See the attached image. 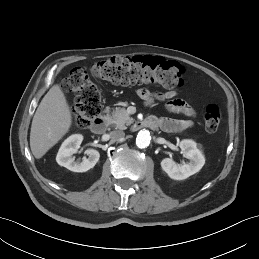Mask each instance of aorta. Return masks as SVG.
Instances as JSON below:
<instances>
[{
	"label": "aorta",
	"mask_w": 259,
	"mask_h": 259,
	"mask_svg": "<svg viewBox=\"0 0 259 259\" xmlns=\"http://www.w3.org/2000/svg\"><path fill=\"white\" fill-rule=\"evenodd\" d=\"M150 141H151V135L149 131L143 129L138 132L136 137V144L139 148H145L149 146Z\"/></svg>",
	"instance_id": "obj_1"
}]
</instances>
